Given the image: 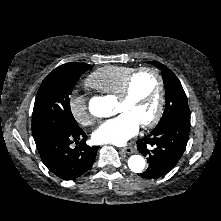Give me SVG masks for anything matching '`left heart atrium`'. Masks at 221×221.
I'll return each instance as SVG.
<instances>
[{"instance_id":"left-heart-atrium-1","label":"left heart atrium","mask_w":221,"mask_h":221,"mask_svg":"<svg viewBox=\"0 0 221 221\" xmlns=\"http://www.w3.org/2000/svg\"><path fill=\"white\" fill-rule=\"evenodd\" d=\"M139 125L130 114L120 113L99 125L93 139L98 143L122 145L137 134Z\"/></svg>"}]
</instances>
